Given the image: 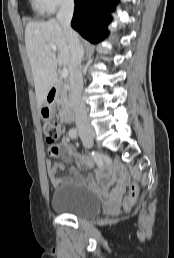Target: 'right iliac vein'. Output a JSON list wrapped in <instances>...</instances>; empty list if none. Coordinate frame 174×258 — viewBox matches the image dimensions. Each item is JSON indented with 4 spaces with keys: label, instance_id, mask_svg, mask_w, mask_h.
Segmentation results:
<instances>
[{
    "label": "right iliac vein",
    "instance_id": "63e3f726",
    "mask_svg": "<svg viewBox=\"0 0 174 258\" xmlns=\"http://www.w3.org/2000/svg\"><path fill=\"white\" fill-rule=\"evenodd\" d=\"M86 138L93 140L95 138V133L91 132V133L87 134Z\"/></svg>",
    "mask_w": 174,
    "mask_h": 258
}]
</instances>
